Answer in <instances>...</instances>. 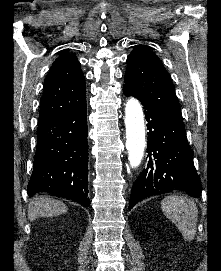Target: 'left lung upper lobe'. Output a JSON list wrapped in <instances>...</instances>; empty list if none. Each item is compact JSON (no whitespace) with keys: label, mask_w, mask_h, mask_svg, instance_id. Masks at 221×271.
Instances as JSON below:
<instances>
[{"label":"left lung upper lobe","mask_w":221,"mask_h":271,"mask_svg":"<svg viewBox=\"0 0 221 271\" xmlns=\"http://www.w3.org/2000/svg\"><path fill=\"white\" fill-rule=\"evenodd\" d=\"M124 86L165 115L183 122L170 75L147 46L137 45L128 56Z\"/></svg>","instance_id":"obj_1"}]
</instances>
